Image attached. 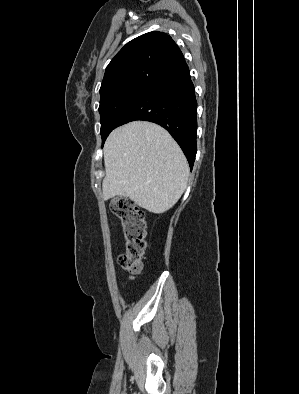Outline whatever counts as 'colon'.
Wrapping results in <instances>:
<instances>
[{
  "label": "colon",
  "instance_id": "obj_1",
  "mask_svg": "<svg viewBox=\"0 0 299 394\" xmlns=\"http://www.w3.org/2000/svg\"><path fill=\"white\" fill-rule=\"evenodd\" d=\"M109 209L118 217L125 237V253L119 255V265L130 274L142 269L146 248V222L143 211L129 198L117 197L109 202Z\"/></svg>",
  "mask_w": 299,
  "mask_h": 394
}]
</instances>
